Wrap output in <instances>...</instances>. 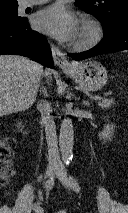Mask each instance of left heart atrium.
I'll return each instance as SVG.
<instances>
[{
  "instance_id": "left-heart-atrium-1",
  "label": "left heart atrium",
  "mask_w": 128,
  "mask_h": 213,
  "mask_svg": "<svg viewBox=\"0 0 128 213\" xmlns=\"http://www.w3.org/2000/svg\"><path fill=\"white\" fill-rule=\"evenodd\" d=\"M35 28L47 35H50L62 42L75 40L79 23L75 14L65 5L53 4L34 17Z\"/></svg>"
}]
</instances>
